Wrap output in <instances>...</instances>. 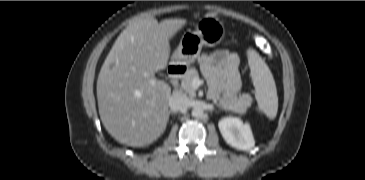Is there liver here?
Returning <instances> with one entry per match:
<instances>
[{
	"instance_id": "6515ba94",
	"label": "liver",
	"mask_w": 365,
	"mask_h": 180,
	"mask_svg": "<svg viewBox=\"0 0 365 180\" xmlns=\"http://www.w3.org/2000/svg\"><path fill=\"white\" fill-rule=\"evenodd\" d=\"M186 23L136 18L116 39L98 76L97 100L100 119L118 142L143 147L164 133L171 88L155 72L166 68L169 41Z\"/></svg>"
}]
</instances>
